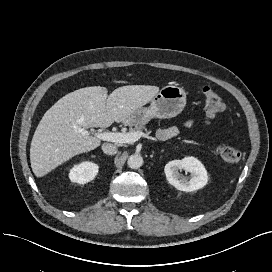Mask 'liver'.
Here are the masks:
<instances>
[{"label":"liver","mask_w":272,"mask_h":272,"mask_svg":"<svg viewBox=\"0 0 272 272\" xmlns=\"http://www.w3.org/2000/svg\"><path fill=\"white\" fill-rule=\"evenodd\" d=\"M159 92L157 86L129 85L115 89L85 87L68 93L46 111L30 147V163L36 177H43L72 157L100 146L99 138L83 135L75 127H109L125 122Z\"/></svg>","instance_id":"6515ba94"}]
</instances>
